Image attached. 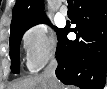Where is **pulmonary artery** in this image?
I'll use <instances>...</instances> for the list:
<instances>
[{"mask_svg":"<svg viewBox=\"0 0 107 89\" xmlns=\"http://www.w3.org/2000/svg\"><path fill=\"white\" fill-rule=\"evenodd\" d=\"M60 13L63 15V16H66L68 14V8L66 6H61L60 8Z\"/></svg>","mask_w":107,"mask_h":89,"instance_id":"pulmonary-artery-1","label":"pulmonary artery"}]
</instances>
